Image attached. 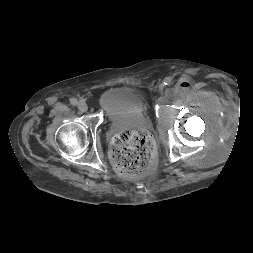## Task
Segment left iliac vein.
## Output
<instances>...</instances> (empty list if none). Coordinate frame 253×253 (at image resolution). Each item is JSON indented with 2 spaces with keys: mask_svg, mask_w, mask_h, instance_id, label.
Returning <instances> with one entry per match:
<instances>
[{
  "mask_svg": "<svg viewBox=\"0 0 253 253\" xmlns=\"http://www.w3.org/2000/svg\"><path fill=\"white\" fill-rule=\"evenodd\" d=\"M163 87H164V84H161V85H160V89H163Z\"/></svg>",
  "mask_w": 253,
  "mask_h": 253,
  "instance_id": "obj_1",
  "label": "left iliac vein"
}]
</instances>
